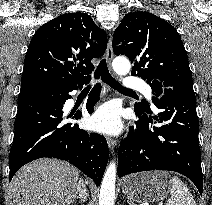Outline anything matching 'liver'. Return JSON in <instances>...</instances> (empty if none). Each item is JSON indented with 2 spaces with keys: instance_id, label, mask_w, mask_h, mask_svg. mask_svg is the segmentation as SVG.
Returning <instances> with one entry per match:
<instances>
[{
  "instance_id": "6515ba94",
  "label": "liver",
  "mask_w": 212,
  "mask_h": 205,
  "mask_svg": "<svg viewBox=\"0 0 212 205\" xmlns=\"http://www.w3.org/2000/svg\"><path fill=\"white\" fill-rule=\"evenodd\" d=\"M79 171L69 163L42 158L23 166L10 184L14 205H70Z\"/></svg>"
}]
</instances>
